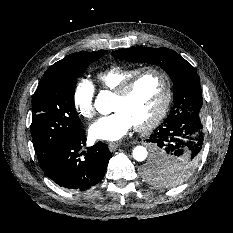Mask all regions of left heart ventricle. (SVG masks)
Instances as JSON below:
<instances>
[{"instance_id":"b2bd125f","label":"left heart ventricle","mask_w":233,"mask_h":233,"mask_svg":"<svg viewBox=\"0 0 233 233\" xmlns=\"http://www.w3.org/2000/svg\"><path fill=\"white\" fill-rule=\"evenodd\" d=\"M164 95V81L160 74L142 75L125 97L114 96L112 110L124 111L134 125L148 121L159 109Z\"/></svg>"}]
</instances>
